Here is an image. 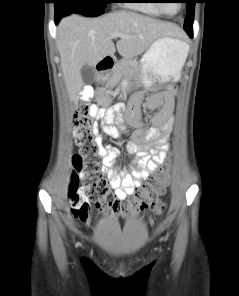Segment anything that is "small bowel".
<instances>
[{
	"label": "small bowel",
	"mask_w": 239,
	"mask_h": 296,
	"mask_svg": "<svg viewBox=\"0 0 239 296\" xmlns=\"http://www.w3.org/2000/svg\"><path fill=\"white\" fill-rule=\"evenodd\" d=\"M90 89V87H86L85 92ZM134 96L137 97V100L130 101L126 111V119L136 128V131L126 145V150L131 155V161L125 167L116 165L118 150L110 145L102 144L104 134L120 138V130L114 125V121H120V117L117 115L124 110V107L115 105L107 110L95 108L92 111V116L102 119L100 128H96L95 133L100 147L99 153L102 157L104 175L108 185L120 201L132 195L136 188L163 164L169 149L168 139L174 122L171 94L152 96L145 102V111L156 110L150 119V126H145L141 121V94L137 93ZM163 100H165L164 104H162ZM121 129L125 130L124 127Z\"/></svg>",
	"instance_id": "1"
}]
</instances>
